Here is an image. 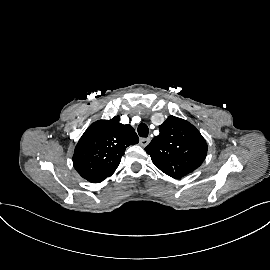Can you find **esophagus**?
Listing matches in <instances>:
<instances>
[{"label":"esophagus","mask_w":270,"mask_h":270,"mask_svg":"<svg viewBox=\"0 0 270 270\" xmlns=\"http://www.w3.org/2000/svg\"><path fill=\"white\" fill-rule=\"evenodd\" d=\"M150 142V138H141L139 143L142 147H146Z\"/></svg>","instance_id":"1"}]
</instances>
